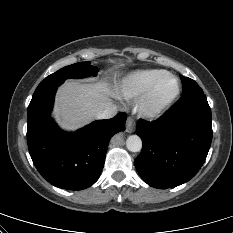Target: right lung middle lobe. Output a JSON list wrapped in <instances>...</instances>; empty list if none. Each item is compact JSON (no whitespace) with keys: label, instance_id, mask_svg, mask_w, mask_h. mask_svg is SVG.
<instances>
[{"label":"right lung middle lobe","instance_id":"dd1d6c3e","mask_svg":"<svg viewBox=\"0 0 233 233\" xmlns=\"http://www.w3.org/2000/svg\"><path fill=\"white\" fill-rule=\"evenodd\" d=\"M97 68L90 65V62H79L61 68L57 72L47 76L36 88L33 96L42 92L55 89L69 78H82L89 75H96Z\"/></svg>","mask_w":233,"mask_h":233}]
</instances>
